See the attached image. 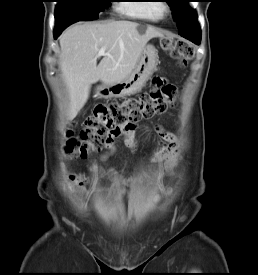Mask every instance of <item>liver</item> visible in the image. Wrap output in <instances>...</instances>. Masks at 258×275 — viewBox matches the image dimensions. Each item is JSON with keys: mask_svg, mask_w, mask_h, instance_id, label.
<instances>
[{"mask_svg": "<svg viewBox=\"0 0 258 275\" xmlns=\"http://www.w3.org/2000/svg\"><path fill=\"white\" fill-rule=\"evenodd\" d=\"M163 34L151 26L119 20L75 24L60 36V70L69 94L68 119H74L97 81L112 84L126 78L137 65L147 42ZM106 54L97 65L98 51Z\"/></svg>", "mask_w": 258, "mask_h": 275, "instance_id": "liver-1", "label": "liver"}]
</instances>
